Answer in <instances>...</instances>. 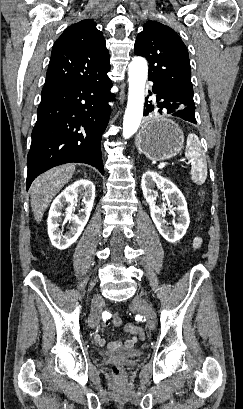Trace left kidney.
Returning a JSON list of instances; mask_svg holds the SVG:
<instances>
[{
  "instance_id": "obj_1",
  "label": "left kidney",
  "mask_w": 243,
  "mask_h": 409,
  "mask_svg": "<svg viewBox=\"0 0 243 409\" xmlns=\"http://www.w3.org/2000/svg\"><path fill=\"white\" fill-rule=\"evenodd\" d=\"M155 186L163 191L169 207H172L170 206V203L177 206L175 209L179 213V217L177 222L173 221L174 230L167 227L166 222L162 217L163 211L156 206ZM141 187L144 198L150 207L151 218L159 233L171 243L180 240L185 235L190 223L187 203L181 191L170 180L162 177L154 171H147L143 174Z\"/></svg>"
}]
</instances>
